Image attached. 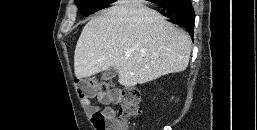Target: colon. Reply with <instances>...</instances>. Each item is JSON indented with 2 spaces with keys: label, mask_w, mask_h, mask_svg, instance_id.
<instances>
[{
  "label": "colon",
  "mask_w": 257,
  "mask_h": 130,
  "mask_svg": "<svg viewBox=\"0 0 257 130\" xmlns=\"http://www.w3.org/2000/svg\"><path fill=\"white\" fill-rule=\"evenodd\" d=\"M78 95L92 97L102 93L117 97L120 107L116 112L96 111L92 114V124L96 130H128L129 121L137 120L141 113V95L137 88L129 87L117 92L112 83L99 82L95 79H77L75 81Z\"/></svg>",
  "instance_id": "obj_1"
}]
</instances>
